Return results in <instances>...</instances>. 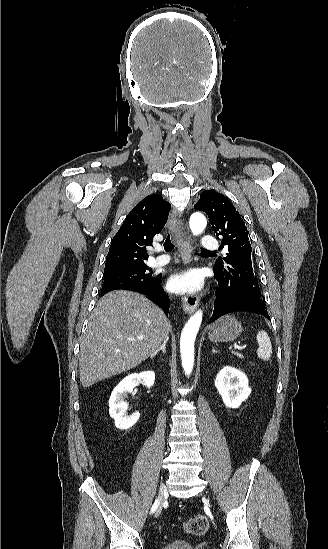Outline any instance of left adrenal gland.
Masks as SVG:
<instances>
[{
    "label": "left adrenal gland",
    "instance_id": "a2214340",
    "mask_svg": "<svg viewBox=\"0 0 328 549\" xmlns=\"http://www.w3.org/2000/svg\"><path fill=\"white\" fill-rule=\"evenodd\" d=\"M212 353H217V351H215V349H212Z\"/></svg>",
    "mask_w": 328,
    "mask_h": 549
}]
</instances>
